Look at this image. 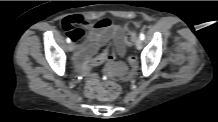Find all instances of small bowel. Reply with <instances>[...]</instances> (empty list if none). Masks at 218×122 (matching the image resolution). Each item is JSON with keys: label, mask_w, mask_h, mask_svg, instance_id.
Segmentation results:
<instances>
[{"label": "small bowel", "mask_w": 218, "mask_h": 122, "mask_svg": "<svg viewBox=\"0 0 218 122\" xmlns=\"http://www.w3.org/2000/svg\"><path fill=\"white\" fill-rule=\"evenodd\" d=\"M62 26L76 43V58L78 61L76 72L86 59L99 53L100 49L106 45L108 38L115 40L117 54L119 56L125 55L126 46L123 29L118 25L111 24L109 19H100L96 24H92L83 17L74 15L63 19ZM67 26L71 30H67Z\"/></svg>", "instance_id": "small-bowel-1"}]
</instances>
